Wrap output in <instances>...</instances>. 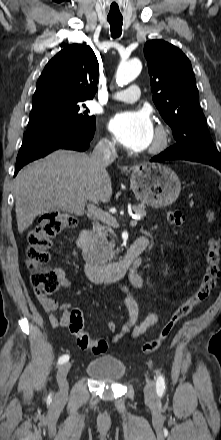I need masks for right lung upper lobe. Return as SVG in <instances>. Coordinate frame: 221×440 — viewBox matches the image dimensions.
Returning a JSON list of instances; mask_svg holds the SVG:
<instances>
[{"instance_id": "obj_1", "label": "right lung upper lobe", "mask_w": 221, "mask_h": 440, "mask_svg": "<svg viewBox=\"0 0 221 440\" xmlns=\"http://www.w3.org/2000/svg\"><path fill=\"white\" fill-rule=\"evenodd\" d=\"M98 60L92 48L73 44L45 66L32 98L33 106L48 103H82L97 90Z\"/></svg>"}]
</instances>
